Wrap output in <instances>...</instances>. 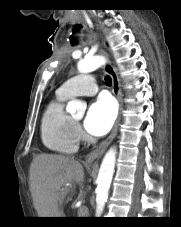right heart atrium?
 Here are the masks:
<instances>
[{
	"label": "right heart atrium",
	"mask_w": 181,
	"mask_h": 227,
	"mask_svg": "<svg viewBox=\"0 0 181 227\" xmlns=\"http://www.w3.org/2000/svg\"><path fill=\"white\" fill-rule=\"evenodd\" d=\"M75 133L78 139L83 138V132L79 124H75Z\"/></svg>",
	"instance_id": "obj_1"
}]
</instances>
